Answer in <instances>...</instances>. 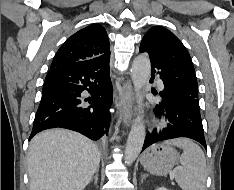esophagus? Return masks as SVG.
Returning <instances> with one entry per match:
<instances>
[{
    "instance_id": "34e87169",
    "label": "esophagus",
    "mask_w": 234,
    "mask_h": 190,
    "mask_svg": "<svg viewBox=\"0 0 234 190\" xmlns=\"http://www.w3.org/2000/svg\"><path fill=\"white\" fill-rule=\"evenodd\" d=\"M122 121L125 125H130L133 114V90L130 82L123 85V91L116 101Z\"/></svg>"
}]
</instances>
